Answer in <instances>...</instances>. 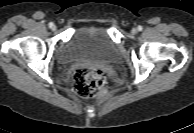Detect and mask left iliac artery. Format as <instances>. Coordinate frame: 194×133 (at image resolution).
<instances>
[{
  "instance_id": "44dca946",
  "label": "left iliac artery",
  "mask_w": 194,
  "mask_h": 133,
  "mask_svg": "<svg viewBox=\"0 0 194 133\" xmlns=\"http://www.w3.org/2000/svg\"><path fill=\"white\" fill-rule=\"evenodd\" d=\"M143 28L142 26H138V30L141 31Z\"/></svg>"
}]
</instances>
